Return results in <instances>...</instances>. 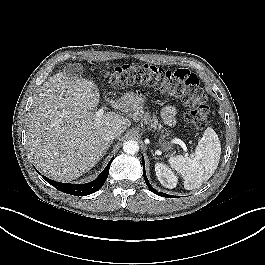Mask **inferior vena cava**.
Instances as JSON below:
<instances>
[{"instance_id":"1","label":"inferior vena cava","mask_w":265,"mask_h":265,"mask_svg":"<svg viewBox=\"0 0 265 265\" xmlns=\"http://www.w3.org/2000/svg\"><path fill=\"white\" fill-rule=\"evenodd\" d=\"M117 137H118V134L115 131H108L105 134V138L108 139V140H113V139H115Z\"/></svg>"}]
</instances>
